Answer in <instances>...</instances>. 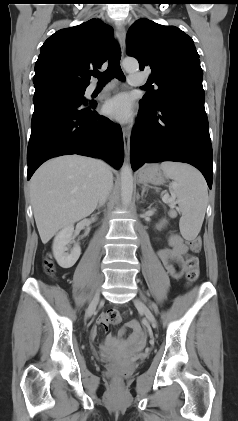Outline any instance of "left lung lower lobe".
<instances>
[{"label":"left lung lower lobe","instance_id":"left-lung-lower-lobe-1","mask_svg":"<svg viewBox=\"0 0 238 421\" xmlns=\"http://www.w3.org/2000/svg\"><path fill=\"white\" fill-rule=\"evenodd\" d=\"M205 92L190 87L162 98L155 109L142 107L131 135V166L145 162L177 161L195 166L209 188L213 179V153Z\"/></svg>","mask_w":238,"mask_h":421}]
</instances>
